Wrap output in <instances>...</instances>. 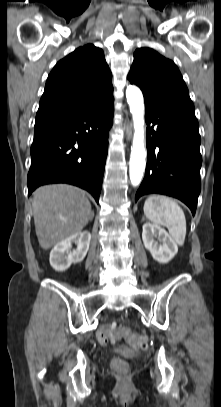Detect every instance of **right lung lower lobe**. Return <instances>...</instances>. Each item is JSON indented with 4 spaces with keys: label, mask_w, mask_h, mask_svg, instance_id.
<instances>
[{
    "label": "right lung lower lobe",
    "mask_w": 221,
    "mask_h": 407,
    "mask_svg": "<svg viewBox=\"0 0 221 407\" xmlns=\"http://www.w3.org/2000/svg\"><path fill=\"white\" fill-rule=\"evenodd\" d=\"M114 98L84 111L34 126L28 195L49 183H68L89 191L98 202L113 123Z\"/></svg>",
    "instance_id": "obj_1"
}]
</instances>
